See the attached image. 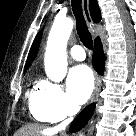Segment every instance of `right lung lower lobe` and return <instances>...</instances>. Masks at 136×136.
Segmentation results:
<instances>
[{"mask_svg": "<svg viewBox=\"0 0 136 136\" xmlns=\"http://www.w3.org/2000/svg\"><path fill=\"white\" fill-rule=\"evenodd\" d=\"M92 64L95 68V70L102 74L104 71L105 66V56L103 53L102 44L99 38L95 40V46H94V52H93V58H92ZM95 109V104L90 105L86 107L79 115L74 119L70 126V132H77L82 127L85 126V124L88 122V120L92 117L93 112Z\"/></svg>", "mask_w": 136, "mask_h": 136, "instance_id": "right-lung-lower-lobe-1", "label": "right lung lower lobe"}]
</instances>
